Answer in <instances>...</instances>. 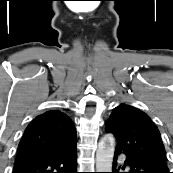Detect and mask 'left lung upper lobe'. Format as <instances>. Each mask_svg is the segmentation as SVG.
Segmentation results:
<instances>
[{
	"label": "left lung upper lobe",
	"mask_w": 173,
	"mask_h": 173,
	"mask_svg": "<svg viewBox=\"0 0 173 173\" xmlns=\"http://www.w3.org/2000/svg\"><path fill=\"white\" fill-rule=\"evenodd\" d=\"M105 130L117 139L115 151L168 169L160 132L141 110L126 104L119 105L106 121Z\"/></svg>",
	"instance_id": "1"
}]
</instances>
